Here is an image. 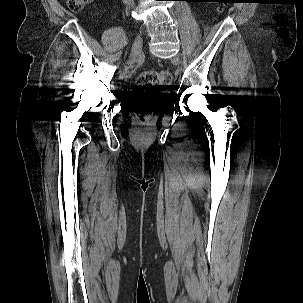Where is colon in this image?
Here are the masks:
<instances>
[{
  "label": "colon",
  "mask_w": 303,
  "mask_h": 303,
  "mask_svg": "<svg viewBox=\"0 0 303 303\" xmlns=\"http://www.w3.org/2000/svg\"><path fill=\"white\" fill-rule=\"evenodd\" d=\"M87 2L88 0H67L69 8L74 11L82 9ZM170 84L171 75L168 71L150 70L141 73L138 77L137 85L142 91L135 95L139 108L147 111L161 105L166 99V94L155 92L153 89L165 88L170 86Z\"/></svg>",
  "instance_id": "5ec220e1"
}]
</instances>
